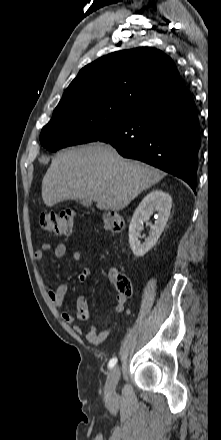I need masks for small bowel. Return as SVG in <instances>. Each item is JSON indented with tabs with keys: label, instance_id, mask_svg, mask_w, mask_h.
I'll list each match as a JSON object with an SVG mask.
<instances>
[{
	"label": "small bowel",
	"instance_id": "c3829d8e",
	"mask_svg": "<svg viewBox=\"0 0 221 440\" xmlns=\"http://www.w3.org/2000/svg\"><path fill=\"white\" fill-rule=\"evenodd\" d=\"M51 249L50 243H44L42 248L35 251L34 259L37 263H41L44 259V253ZM67 251V246L65 243H59L55 249L54 254L56 258H62L65 256ZM72 259L76 263H81L84 260L83 254L80 251H74L72 254ZM90 276V269L88 267H83L78 275V282L84 283ZM113 276V273H111ZM69 291V286L65 283L59 284L56 289H48V297L51 300L54 308L61 309L64 306V299ZM126 302V297L117 295L115 303L113 305V310L116 313H121L124 311V306ZM61 319L64 323L68 325H73L75 332L80 333L82 328L76 322H85L89 319V307L87 299L84 295H79L76 299V314L73 316L69 312H62ZM118 320L114 318L101 328L95 326H90L86 333V340L92 345L98 346L104 342L112 332V330L117 326Z\"/></svg>",
	"mask_w": 221,
	"mask_h": 440
}]
</instances>
